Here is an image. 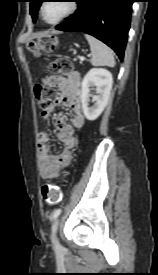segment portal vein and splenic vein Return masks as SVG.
I'll use <instances>...</instances> for the list:
<instances>
[{
  "label": "portal vein and splenic vein",
  "mask_w": 158,
  "mask_h": 275,
  "mask_svg": "<svg viewBox=\"0 0 158 275\" xmlns=\"http://www.w3.org/2000/svg\"><path fill=\"white\" fill-rule=\"evenodd\" d=\"M81 61H84L85 60V57L84 56H80L79 57Z\"/></svg>",
  "instance_id": "18ae733b"
}]
</instances>
